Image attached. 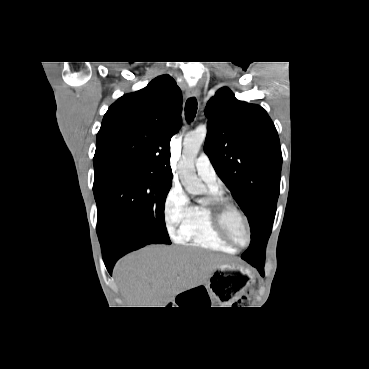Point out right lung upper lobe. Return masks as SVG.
<instances>
[{
  "label": "right lung upper lobe",
  "instance_id": "right-lung-upper-lobe-1",
  "mask_svg": "<svg viewBox=\"0 0 369 369\" xmlns=\"http://www.w3.org/2000/svg\"><path fill=\"white\" fill-rule=\"evenodd\" d=\"M182 94L169 75L125 94L104 115L94 168H132L172 180L169 144L181 127Z\"/></svg>",
  "mask_w": 369,
  "mask_h": 369
}]
</instances>
